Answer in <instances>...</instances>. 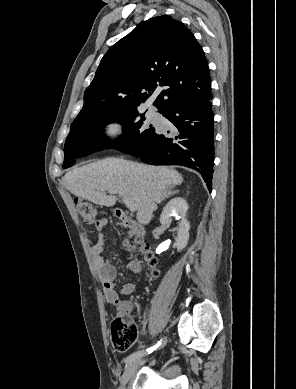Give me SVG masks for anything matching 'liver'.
I'll use <instances>...</instances> for the list:
<instances>
[{
    "label": "liver",
    "instance_id": "liver-1",
    "mask_svg": "<svg viewBox=\"0 0 296 389\" xmlns=\"http://www.w3.org/2000/svg\"><path fill=\"white\" fill-rule=\"evenodd\" d=\"M62 181L76 197L100 206H113L118 198L112 194H118L136 206L137 221L147 225L157 204L169 197L183 177L167 167L106 158L68 171Z\"/></svg>",
    "mask_w": 296,
    "mask_h": 389
}]
</instances>
